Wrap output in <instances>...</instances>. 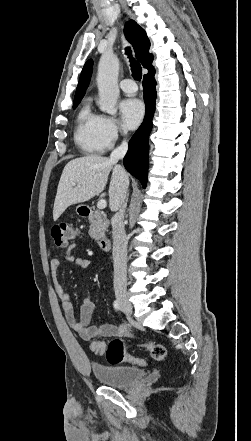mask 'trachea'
<instances>
[{"label": "trachea", "instance_id": "1", "mask_svg": "<svg viewBox=\"0 0 251 441\" xmlns=\"http://www.w3.org/2000/svg\"><path fill=\"white\" fill-rule=\"evenodd\" d=\"M126 54L130 58V66H131V72L132 76L135 80H141L142 78V68L141 65L134 60V58L131 57V50L129 47L126 48Z\"/></svg>", "mask_w": 251, "mask_h": 441}]
</instances>
